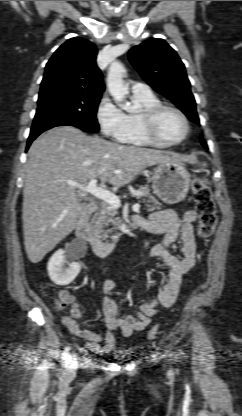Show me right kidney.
<instances>
[{"label":"right kidney","mask_w":242,"mask_h":416,"mask_svg":"<svg viewBox=\"0 0 242 416\" xmlns=\"http://www.w3.org/2000/svg\"><path fill=\"white\" fill-rule=\"evenodd\" d=\"M81 265L73 261L62 249L56 251L49 259L47 270L50 279L60 286L70 284L79 274Z\"/></svg>","instance_id":"obj_1"}]
</instances>
